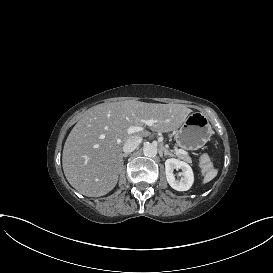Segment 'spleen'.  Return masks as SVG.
I'll return each instance as SVG.
<instances>
[{"label":"spleen","mask_w":273,"mask_h":273,"mask_svg":"<svg viewBox=\"0 0 273 273\" xmlns=\"http://www.w3.org/2000/svg\"><path fill=\"white\" fill-rule=\"evenodd\" d=\"M216 176V171L215 170H210L206 176H205V181H210L211 179H213Z\"/></svg>","instance_id":"obj_1"}]
</instances>
